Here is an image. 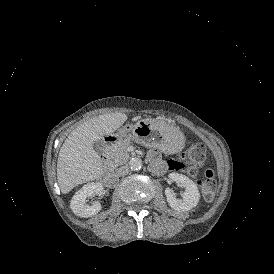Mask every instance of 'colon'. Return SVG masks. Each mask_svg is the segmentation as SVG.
I'll list each match as a JSON object with an SVG mask.
<instances>
[{"label":"colon","mask_w":274,"mask_h":274,"mask_svg":"<svg viewBox=\"0 0 274 274\" xmlns=\"http://www.w3.org/2000/svg\"><path fill=\"white\" fill-rule=\"evenodd\" d=\"M206 156L205 145L201 142H193L187 149L172 157L175 170L184 169L189 173L196 172V167L204 163ZM182 161H185L186 166ZM200 185L206 200H212L216 190L215 174L211 168H205L200 177Z\"/></svg>","instance_id":"obj_1"}]
</instances>
